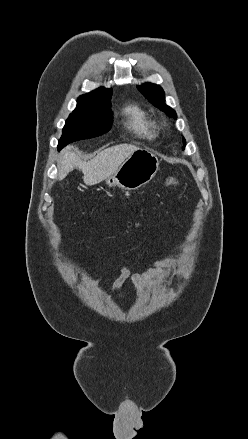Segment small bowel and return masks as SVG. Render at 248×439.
<instances>
[{
    "label": "small bowel",
    "mask_w": 248,
    "mask_h": 439,
    "mask_svg": "<svg viewBox=\"0 0 248 439\" xmlns=\"http://www.w3.org/2000/svg\"><path fill=\"white\" fill-rule=\"evenodd\" d=\"M183 266L181 260L172 258H163L153 262L149 268L143 272H134L132 268L128 265H122L120 267V273L116 277L110 298H112L122 287V285L127 281L131 280L135 291L139 294L144 287L156 288V279H162L171 281L174 277L167 273L164 269L167 267H180Z\"/></svg>",
    "instance_id": "obj_1"
}]
</instances>
